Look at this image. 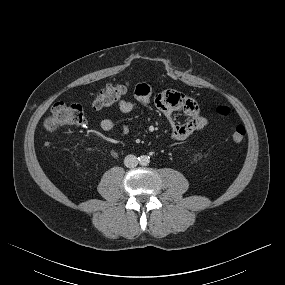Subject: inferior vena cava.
<instances>
[{"label": "inferior vena cava", "instance_id": "inferior-vena-cava-1", "mask_svg": "<svg viewBox=\"0 0 285 285\" xmlns=\"http://www.w3.org/2000/svg\"><path fill=\"white\" fill-rule=\"evenodd\" d=\"M124 164L127 168H134L138 164L137 157L135 155H127L124 159Z\"/></svg>", "mask_w": 285, "mask_h": 285}]
</instances>
